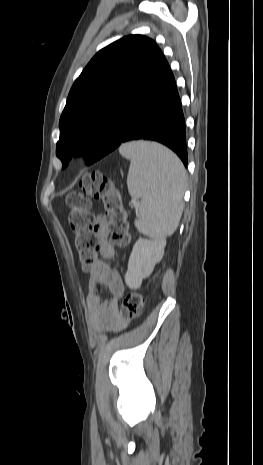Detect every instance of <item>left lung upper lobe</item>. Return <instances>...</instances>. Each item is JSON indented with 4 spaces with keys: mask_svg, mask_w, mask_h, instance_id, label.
<instances>
[{
    "mask_svg": "<svg viewBox=\"0 0 263 465\" xmlns=\"http://www.w3.org/2000/svg\"><path fill=\"white\" fill-rule=\"evenodd\" d=\"M161 55L153 40L129 35L91 59L74 82L60 117L56 155L62 163L72 154L93 161L109 139L121 108L135 99L139 83Z\"/></svg>",
    "mask_w": 263,
    "mask_h": 465,
    "instance_id": "left-lung-upper-lobe-1",
    "label": "left lung upper lobe"
}]
</instances>
